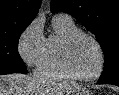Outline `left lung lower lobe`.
I'll use <instances>...</instances> for the list:
<instances>
[{"label":"left lung lower lobe","mask_w":119,"mask_h":95,"mask_svg":"<svg viewBox=\"0 0 119 95\" xmlns=\"http://www.w3.org/2000/svg\"><path fill=\"white\" fill-rule=\"evenodd\" d=\"M98 84H109V83L98 81ZM114 85L119 86V82L114 83Z\"/></svg>","instance_id":"1"}]
</instances>
